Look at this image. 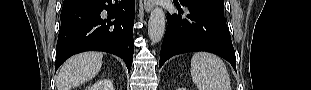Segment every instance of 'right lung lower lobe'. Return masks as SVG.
<instances>
[{
  "label": "right lung lower lobe",
  "instance_id": "obj_1",
  "mask_svg": "<svg viewBox=\"0 0 311 90\" xmlns=\"http://www.w3.org/2000/svg\"><path fill=\"white\" fill-rule=\"evenodd\" d=\"M134 0H74L63 6L55 71L70 56L104 51L131 69L134 53Z\"/></svg>",
  "mask_w": 311,
  "mask_h": 90
}]
</instances>
